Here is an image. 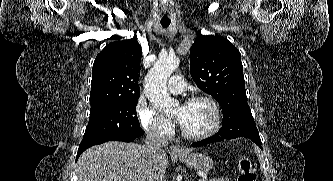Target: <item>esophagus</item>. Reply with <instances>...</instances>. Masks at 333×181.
<instances>
[{
    "instance_id": "esophagus-1",
    "label": "esophagus",
    "mask_w": 333,
    "mask_h": 181,
    "mask_svg": "<svg viewBox=\"0 0 333 181\" xmlns=\"http://www.w3.org/2000/svg\"><path fill=\"white\" fill-rule=\"evenodd\" d=\"M173 152L178 155H183V154H186V149L181 145H174Z\"/></svg>"
}]
</instances>
